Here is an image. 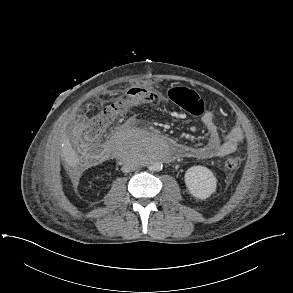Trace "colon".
Segmentation results:
<instances>
[{"label": "colon", "mask_w": 293, "mask_h": 293, "mask_svg": "<svg viewBox=\"0 0 293 293\" xmlns=\"http://www.w3.org/2000/svg\"><path fill=\"white\" fill-rule=\"evenodd\" d=\"M172 99L189 112H194L201 101L197 93L183 87L175 88L172 91ZM152 100L153 92L147 88L133 87L129 89L124 97L105 106L88 120L84 132L85 140L97 139L128 110L151 103ZM212 121L218 122L219 117L216 114L212 115ZM223 164L226 170L235 171L240 165V158L233 152H227L223 157Z\"/></svg>", "instance_id": "5ec220e1"}]
</instances>
